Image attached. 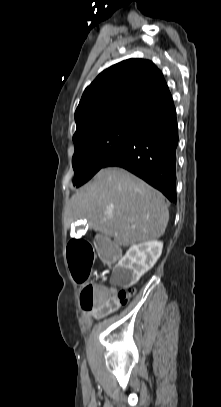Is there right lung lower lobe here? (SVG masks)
<instances>
[{
  "label": "right lung lower lobe",
  "instance_id": "obj_1",
  "mask_svg": "<svg viewBox=\"0 0 221 407\" xmlns=\"http://www.w3.org/2000/svg\"><path fill=\"white\" fill-rule=\"evenodd\" d=\"M178 126L171 99L137 124L127 141L102 168L127 169L176 202V147Z\"/></svg>",
  "mask_w": 221,
  "mask_h": 407
}]
</instances>
